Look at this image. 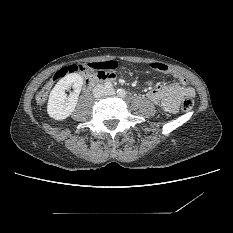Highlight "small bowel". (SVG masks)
I'll return each mask as SVG.
<instances>
[{"label": "small bowel", "mask_w": 233, "mask_h": 233, "mask_svg": "<svg viewBox=\"0 0 233 233\" xmlns=\"http://www.w3.org/2000/svg\"><path fill=\"white\" fill-rule=\"evenodd\" d=\"M118 67L119 63L116 59H108L101 62H91L87 65L89 70H95L107 74L110 78V81H113L116 78V70ZM172 75L177 80V82L168 84L157 82L154 79H149L146 81V85L149 88L147 98L152 103L159 105L164 110V112L169 115L175 113L178 110L180 98L183 94L194 96V90L192 87H186L183 84L184 82L187 83V80L179 72L172 69Z\"/></svg>", "instance_id": "obj_1"}]
</instances>
